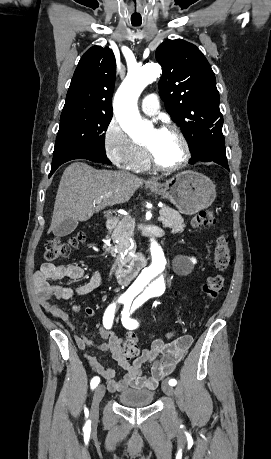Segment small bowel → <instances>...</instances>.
<instances>
[{
  "label": "small bowel",
  "instance_id": "obj_1",
  "mask_svg": "<svg viewBox=\"0 0 271 459\" xmlns=\"http://www.w3.org/2000/svg\"><path fill=\"white\" fill-rule=\"evenodd\" d=\"M84 275V268L76 264L61 266L45 263L34 277V289L39 304L48 314L64 322L71 331H75V324L69 319L67 312L50 299L55 297L59 300H68L75 295L84 296L100 286L102 277L98 271H94L90 279L76 289L56 283L64 278L79 280ZM85 313L89 318L94 317V311L89 307L86 308ZM103 327L99 326V333L104 341L101 344H94L81 334H77L75 340L80 349L93 347L108 352L115 363L125 371L122 378L116 379L113 368H105L94 356L85 355L89 367L105 380L109 392H121L127 388H156L164 377L174 371L193 342L190 335H180L173 339L175 333L168 332L164 338L154 340L151 347L144 349L130 364L121 355V339ZM165 339L172 340L165 342ZM146 364L151 365L149 376L143 374V367Z\"/></svg>",
  "mask_w": 271,
  "mask_h": 459
}]
</instances>
